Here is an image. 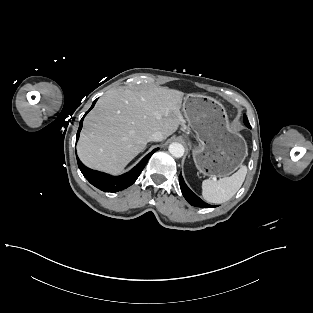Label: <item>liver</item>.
<instances>
[{
    "label": "liver",
    "instance_id": "liver-1",
    "mask_svg": "<svg viewBox=\"0 0 313 313\" xmlns=\"http://www.w3.org/2000/svg\"><path fill=\"white\" fill-rule=\"evenodd\" d=\"M183 95L164 87L107 91L84 120L79 158L90 168L121 172L145 149L152 133L160 131L167 138L184 123Z\"/></svg>",
    "mask_w": 313,
    "mask_h": 313
}]
</instances>
